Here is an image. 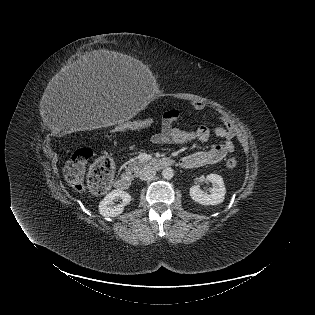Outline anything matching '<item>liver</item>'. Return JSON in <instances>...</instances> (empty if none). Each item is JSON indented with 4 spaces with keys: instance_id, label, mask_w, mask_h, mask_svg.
<instances>
[{
    "instance_id": "6515ba94",
    "label": "liver",
    "mask_w": 315,
    "mask_h": 315,
    "mask_svg": "<svg viewBox=\"0 0 315 315\" xmlns=\"http://www.w3.org/2000/svg\"><path fill=\"white\" fill-rule=\"evenodd\" d=\"M136 65L138 62L131 56L101 49L83 56L60 75H56V78L61 77L74 82L120 80L126 78ZM109 124H111L110 121Z\"/></svg>"
}]
</instances>
